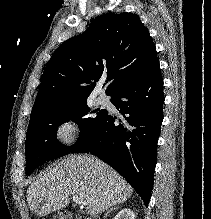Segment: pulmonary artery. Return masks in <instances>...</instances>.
Wrapping results in <instances>:
<instances>
[{"label": "pulmonary artery", "instance_id": "e3ab8cb5", "mask_svg": "<svg viewBox=\"0 0 211 219\" xmlns=\"http://www.w3.org/2000/svg\"><path fill=\"white\" fill-rule=\"evenodd\" d=\"M96 102L97 104L99 105H106L108 104V99L106 96L104 95H99L97 98H96Z\"/></svg>", "mask_w": 211, "mask_h": 219}]
</instances>
